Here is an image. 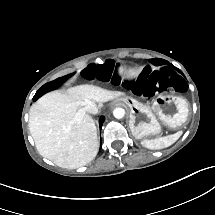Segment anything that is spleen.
Returning a JSON list of instances; mask_svg holds the SVG:
<instances>
[{
  "label": "spleen",
  "instance_id": "1",
  "mask_svg": "<svg viewBox=\"0 0 215 215\" xmlns=\"http://www.w3.org/2000/svg\"><path fill=\"white\" fill-rule=\"evenodd\" d=\"M182 133V130H180L174 134L156 137L154 139H143L141 144L142 146L152 150L167 148L173 145L181 137Z\"/></svg>",
  "mask_w": 215,
  "mask_h": 215
}]
</instances>
